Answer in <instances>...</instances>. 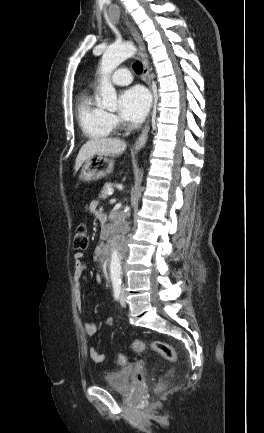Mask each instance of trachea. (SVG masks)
I'll return each mask as SVG.
<instances>
[{
    "label": "trachea",
    "mask_w": 264,
    "mask_h": 433,
    "mask_svg": "<svg viewBox=\"0 0 264 433\" xmlns=\"http://www.w3.org/2000/svg\"><path fill=\"white\" fill-rule=\"evenodd\" d=\"M133 68H134V71H135L137 74H141V73H142V65H141L140 62L137 61V62L133 65Z\"/></svg>",
    "instance_id": "1"
}]
</instances>
